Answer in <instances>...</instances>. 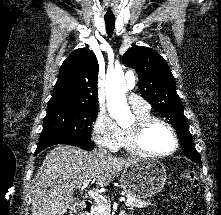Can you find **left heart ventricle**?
<instances>
[{
  "label": "left heart ventricle",
  "instance_id": "obj_1",
  "mask_svg": "<svg viewBox=\"0 0 221 215\" xmlns=\"http://www.w3.org/2000/svg\"><path fill=\"white\" fill-rule=\"evenodd\" d=\"M143 142L148 150L155 153L169 152L174 147V140L170 131L159 123L154 124L148 129Z\"/></svg>",
  "mask_w": 221,
  "mask_h": 215
}]
</instances>
